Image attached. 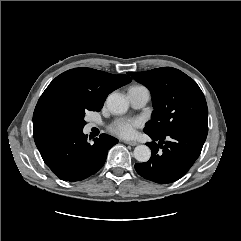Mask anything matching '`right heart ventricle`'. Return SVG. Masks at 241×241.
<instances>
[{
    "instance_id": "obj_1",
    "label": "right heart ventricle",
    "mask_w": 241,
    "mask_h": 241,
    "mask_svg": "<svg viewBox=\"0 0 241 241\" xmlns=\"http://www.w3.org/2000/svg\"><path fill=\"white\" fill-rule=\"evenodd\" d=\"M132 87H141V86H132ZM132 87H131V88H132Z\"/></svg>"
}]
</instances>
